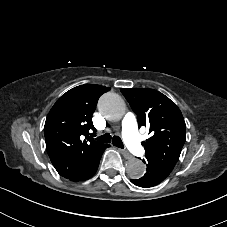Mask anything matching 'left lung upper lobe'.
Returning <instances> with one entry per match:
<instances>
[{
	"label": "left lung upper lobe",
	"mask_w": 227,
	"mask_h": 227,
	"mask_svg": "<svg viewBox=\"0 0 227 227\" xmlns=\"http://www.w3.org/2000/svg\"><path fill=\"white\" fill-rule=\"evenodd\" d=\"M120 91L137 115L139 127L147 126L152 135L142 143L146 161L171 172L186 140V124L180 109L154 89L122 88Z\"/></svg>",
	"instance_id": "1"
}]
</instances>
